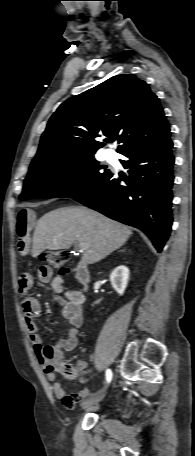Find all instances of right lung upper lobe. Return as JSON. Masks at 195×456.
I'll return each instance as SVG.
<instances>
[{
	"instance_id": "right-lung-upper-lobe-1",
	"label": "right lung upper lobe",
	"mask_w": 195,
	"mask_h": 456,
	"mask_svg": "<svg viewBox=\"0 0 195 456\" xmlns=\"http://www.w3.org/2000/svg\"><path fill=\"white\" fill-rule=\"evenodd\" d=\"M129 148L170 138L157 96L134 75L121 74L67 99L51 116L30 167L61 158L94 155L104 146L97 137Z\"/></svg>"
}]
</instances>
